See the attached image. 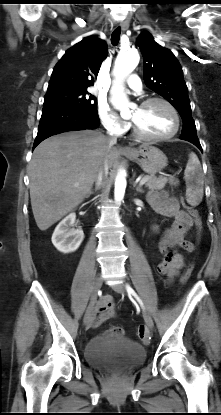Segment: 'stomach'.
I'll return each instance as SVG.
<instances>
[{"label":"stomach","mask_w":221,"mask_h":415,"mask_svg":"<svg viewBox=\"0 0 221 415\" xmlns=\"http://www.w3.org/2000/svg\"><path fill=\"white\" fill-rule=\"evenodd\" d=\"M124 155L128 159L136 162L144 172L150 175H154L163 170L168 162L166 155L160 149L148 143L131 149L125 152Z\"/></svg>","instance_id":"stomach-1"}]
</instances>
